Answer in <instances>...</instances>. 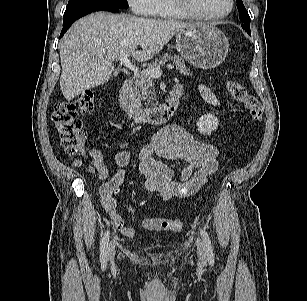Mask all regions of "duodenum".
Instances as JSON below:
<instances>
[{
  "label": "duodenum",
  "mask_w": 307,
  "mask_h": 301,
  "mask_svg": "<svg viewBox=\"0 0 307 301\" xmlns=\"http://www.w3.org/2000/svg\"><path fill=\"white\" fill-rule=\"evenodd\" d=\"M133 81L127 78L119 91V102L123 110L137 124H161L169 119L177 109L182 89L175 87L163 104L155 108H144L138 105L132 97Z\"/></svg>",
  "instance_id": "obj_1"
}]
</instances>
